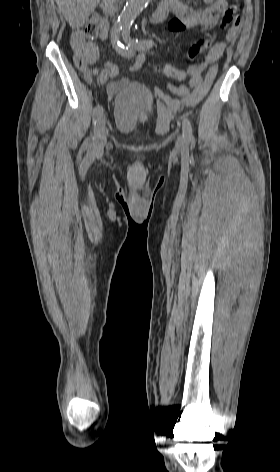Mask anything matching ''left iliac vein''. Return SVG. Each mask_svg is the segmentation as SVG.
<instances>
[{"instance_id":"obj_1","label":"left iliac vein","mask_w":280,"mask_h":472,"mask_svg":"<svg viewBox=\"0 0 280 472\" xmlns=\"http://www.w3.org/2000/svg\"><path fill=\"white\" fill-rule=\"evenodd\" d=\"M186 148V140L183 137H178L176 142V149L179 151H183Z\"/></svg>"}]
</instances>
